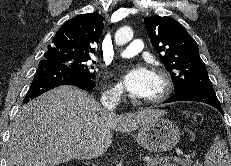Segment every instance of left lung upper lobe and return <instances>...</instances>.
I'll return each instance as SVG.
<instances>
[{
  "instance_id": "1",
  "label": "left lung upper lobe",
  "mask_w": 231,
  "mask_h": 166,
  "mask_svg": "<svg viewBox=\"0 0 231 166\" xmlns=\"http://www.w3.org/2000/svg\"><path fill=\"white\" fill-rule=\"evenodd\" d=\"M144 23L153 47L172 75L175 93L191 87L213 88L196 41L178 21L147 17Z\"/></svg>"
}]
</instances>
